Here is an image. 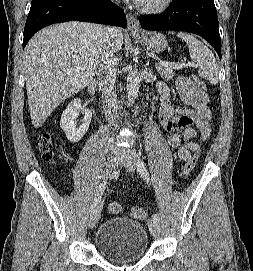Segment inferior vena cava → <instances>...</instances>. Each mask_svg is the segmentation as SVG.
Listing matches in <instances>:
<instances>
[{"instance_id":"obj_1","label":"inferior vena cava","mask_w":253,"mask_h":271,"mask_svg":"<svg viewBox=\"0 0 253 271\" xmlns=\"http://www.w3.org/2000/svg\"><path fill=\"white\" fill-rule=\"evenodd\" d=\"M102 50L99 59V87L104 95L106 103L105 115L110 124L116 125L117 118V100L114 92L117 60L114 57L112 40L115 30L109 26H101ZM109 150L119 152L120 148L113 138L109 139Z\"/></svg>"}]
</instances>
